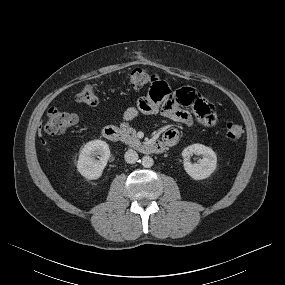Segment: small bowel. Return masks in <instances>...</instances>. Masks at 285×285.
<instances>
[{
	"mask_svg": "<svg viewBox=\"0 0 285 285\" xmlns=\"http://www.w3.org/2000/svg\"><path fill=\"white\" fill-rule=\"evenodd\" d=\"M159 111L167 118L185 125H191L196 120L203 126L211 127L217 122L214 105L197 90L183 87L176 91L163 78H154L149 82L147 96L140 97L136 105L128 107L122 120L129 122L141 114L150 115ZM178 138V130L169 128L164 132L162 141L173 146Z\"/></svg>",
	"mask_w": 285,
	"mask_h": 285,
	"instance_id": "1",
	"label": "small bowel"
}]
</instances>
